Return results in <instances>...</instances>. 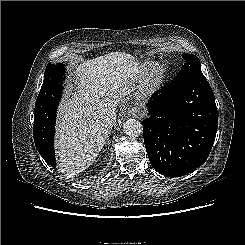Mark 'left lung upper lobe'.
<instances>
[{
  "label": "left lung upper lobe",
  "instance_id": "left-lung-upper-lobe-1",
  "mask_svg": "<svg viewBox=\"0 0 245 245\" xmlns=\"http://www.w3.org/2000/svg\"><path fill=\"white\" fill-rule=\"evenodd\" d=\"M182 57L185 60V64L179 74L173 80L172 84L195 75H202L200 60L197 56L193 54H183Z\"/></svg>",
  "mask_w": 245,
  "mask_h": 245
}]
</instances>
